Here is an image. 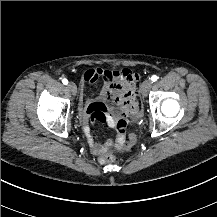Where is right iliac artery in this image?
Masks as SVG:
<instances>
[{
  "instance_id": "right-iliac-artery-1",
  "label": "right iliac artery",
  "mask_w": 217,
  "mask_h": 217,
  "mask_svg": "<svg viewBox=\"0 0 217 217\" xmlns=\"http://www.w3.org/2000/svg\"><path fill=\"white\" fill-rule=\"evenodd\" d=\"M62 83H63L64 85H67V84H68V80H67L66 78H64V79L62 80Z\"/></svg>"
}]
</instances>
